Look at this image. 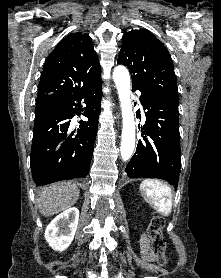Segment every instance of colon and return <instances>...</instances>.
Segmentation results:
<instances>
[{
    "label": "colon",
    "mask_w": 221,
    "mask_h": 278,
    "mask_svg": "<svg viewBox=\"0 0 221 278\" xmlns=\"http://www.w3.org/2000/svg\"><path fill=\"white\" fill-rule=\"evenodd\" d=\"M163 227V218L160 216H155L147 229V237L149 238V249L154 258L161 265H166V242L162 234Z\"/></svg>",
    "instance_id": "5ec220e1"
}]
</instances>
